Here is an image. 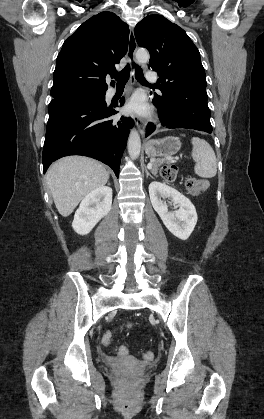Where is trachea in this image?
<instances>
[{"instance_id": "obj_1", "label": "trachea", "mask_w": 264, "mask_h": 419, "mask_svg": "<svg viewBox=\"0 0 264 419\" xmlns=\"http://www.w3.org/2000/svg\"><path fill=\"white\" fill-rule=\"evenodd\" d=\"M112 76L117 81V84L124 85L129 79L130 76V67L127 65L122 71L113 73ZM135 77L137 81H139L142 84H149L143 75V71L140 66L135 67Z\"/></svg>"}]
</instances>
